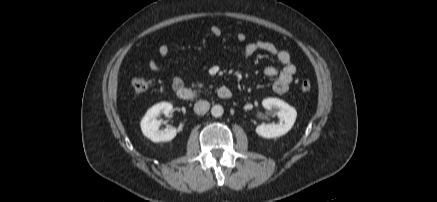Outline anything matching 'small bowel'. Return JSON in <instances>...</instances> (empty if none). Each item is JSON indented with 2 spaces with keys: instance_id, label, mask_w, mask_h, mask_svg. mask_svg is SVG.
Returning <instances> with one entry per match:
<instances>
[{
  "instance_id": "1",
  "label": "small bowel",
  "mask_w": 437,
  "mask_h": 202,
  "mask_svg": "<svg viewBox=\"0 0 437 202\" xmlns=\"http://www.w3.org/2000/svg\"><path fill=\"white\" fill-rule=\"evenodd\" d=\"M211 34L220 38L222 36V30L218 26H212L210 28ZM236 40L240 43L245 42L246 35L242 32L236 35ZM262 51L274 56L281 64L277 66H267L263 73L267 77H276L273 82L272 88L277 94H284L288 91L291 83L293 82L294 75L296 73V66L292 62L289 52L278 48L274 43L257 39L248 42L244 47V56L246 58L251 57L256 52ZM158 53L162 57H166L170 53V47L167 44H162L158 48ZM149 69L154 73H160L163 71V66L158 63L154 58H150L148 61ZM184 86L183 78L180 75H174L171 79V87L174 91Z\"/></svg>"
}]
</instances>
